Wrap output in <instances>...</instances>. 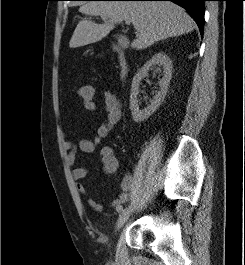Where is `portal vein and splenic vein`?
I'll use <instances>...</instances> for the list:
<instances>
[{"label": "portal vein and splenic vein", "mask_w": 245, "mask_h": 265, "mask_svg": "<svg viewBox=\"0 0 245 265\" xmlns=\"http://www.w3.org/2000/svg\"><path fill=\"white\" fill-rule=\"evenodd\" d=\"M125 23H126V24H130V23H131V21H129V20H126V21H125Z\"/></svg>", "instance_id": "portal-vein-and-splenic-vein-1"}]
</instances>
